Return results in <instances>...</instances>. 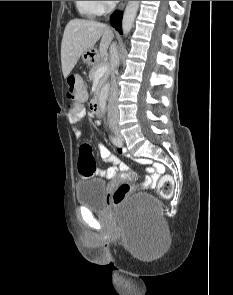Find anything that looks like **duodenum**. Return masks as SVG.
Segmentation results:
<instances>
[{
  "instance_id": "duodenum-1",
  "label": "duodenum",
  "mask_w": 233,
  "mask_h": 295,
  "mask_svg": "<svg viewBox=\"0 0 233 295\" xmlns=\"http://www.w3.org/2000/svg\"><path fill=\"white\" fill-rule=\"evenodd\" d=\"M91 109L94 113L99 114L101 112V104L99 95L95 96L91 101Z\"/></svg>"
}]
</instances>
